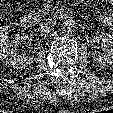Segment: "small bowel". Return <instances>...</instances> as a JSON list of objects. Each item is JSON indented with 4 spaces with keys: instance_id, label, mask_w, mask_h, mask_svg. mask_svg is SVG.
<instances>
[{
    "instance_id": "1",
    "label": "small bowel",
    "mask_w": 113,
    "mask_h": 113,
    "mask_svg": "<svg viewBox=\"0 0 113 113\" xmlns=\"http://www.w3.org/2000/svg\"><path fill=\"white\" fill-rule=\"evenodd\" d=\"M113 5V0H110ZM101 21L113 31V13H105L101 16Z\"/></svg>"
}]
</instances>
